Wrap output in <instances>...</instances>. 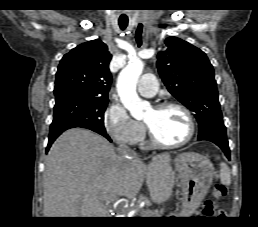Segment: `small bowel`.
I'll return each mask as SVG.
<instances>
[{
	"label": "small bowel",
	"mask_w": 258,
	"mask_h": 227,
	"mask_svg": "<svg viewBox=\"0 0 258 227\" xmlns=\"http://www.w3.org/2000/svg\"><path fill=\"white\" fill-rule=\"evenodd\" d=\"M214 213L213 205L211 201H206L203 209L204 215H212Z\"/></svg>",
	"instance_id": "1"
}]
</instances>
